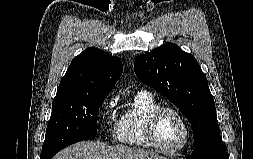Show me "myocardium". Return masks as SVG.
Masks as SVG:
<instances>
[{
    "instance_id": "myocardium-1",
    "label": "myocardium",
    "mask_w": 253,
    "mask_h": 159,
    "mask_svg": "<svg viewBox=\"0 0 253 159\" xmlns=\"http://www.w3.org/2000/svg\"><path fill=\"white\" fill-rule=\"evenodd\" d=\"M164 112H172L175 115H177L184 127L183 140H182L181 144L174 149H166V148L162 147L157 141L156 123H157V120L160 117V115ZM144 135H145V138H146L148 144L151 147L155 148L156 150H158L161 153L166 154V155H176V154L181 153L185 149L187 144L189 143L190 126H189L187 119L183 115V113L181 111H179L177 108H174L171 106H160L159 105L158 107L153 109L148 114L145 125H144Z\"/></svg>"
}]
</instances>
